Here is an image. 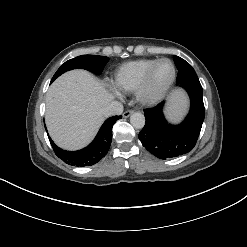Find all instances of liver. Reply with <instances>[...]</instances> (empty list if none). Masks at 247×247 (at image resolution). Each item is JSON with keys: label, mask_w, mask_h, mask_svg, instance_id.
<instances>
[{"label": "liver", "mask_w": 247, "mask_h": 247, "mask_svg": "<svg viewBox=\"0 0 247 247\" xmlns=\"http://www.w3.org/2000/svg\"><path fill=\"white\" fill-rule=\"evenodd\" d=\"M112 98L103 84L85 70L61 75L50 86L46 97L45 120L53 141L68 150L87 145L103 123V109ZM186 108L183 94H172L168 106L170 117L180 120Z\"/></svg>", "instance_id": "obj_1"}]
</instances>
